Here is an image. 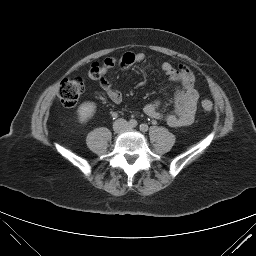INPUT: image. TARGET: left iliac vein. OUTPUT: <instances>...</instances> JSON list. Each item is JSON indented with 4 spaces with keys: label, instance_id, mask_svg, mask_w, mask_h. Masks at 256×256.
<instances>
[{
    "label": "left iliac vein",
    "instance_id": "obj_1",
    "mask_svg": "<svg viewBox=\"0 0 256 256\" xmlns=\"http://www.w3.org/2000/svg\"><path fill=\"white\" fill-rule=\"evenodd\" d=\"M132 128L131 127H128V130H131Z\"/></svg>",
    "mask_w": 256,
    "mask_h": 256
}]
</instances>
